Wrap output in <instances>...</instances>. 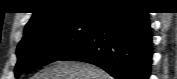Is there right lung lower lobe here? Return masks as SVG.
<instances>
[{
    "mask_svg": "<svg viewBox=\"0 0 177 79\" xmlns=\"http://www.w3.org/2000/svg\"><path fill=\"white\" fill-rule=\"evenodd\" d=\"M152 54L148 12L114 6L105 9L87 39L60 60L97 65L116 79H148Z\"/></svg>",
    "mask_w": 177,
    "mask_h": 79,
    "instance_id": "right-lung-lower-lobe-1",
    "label": "right lung lower lobe"
}]
</instances>
